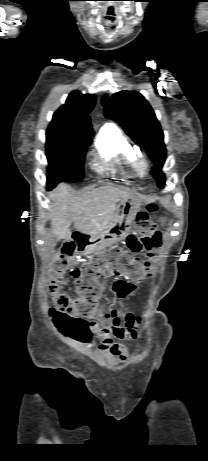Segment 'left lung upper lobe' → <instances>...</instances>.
I'll return each instance as SVG.
<instances>
[{
    "mask_svg": "<svg viewBox=\"0 0 208 461\" xmlns=\"http://www.w3.org/2000/svg\"><path fill=\"white\" fill-rule=\"evenodd\" d=\"M104 115L118 122L132 140L142 146L154 163L152 175L160 188L164 186L161 168L166 160V148L161 126L147 100L138 92L121 91L102 100Z\"/></svg>",
    "mask_w": 208,
    "mask_h": 461,
    "instance_id": "left-lung-upper-lobe-1",
    "label": "left lung upper lobe"
}]
</instances>
